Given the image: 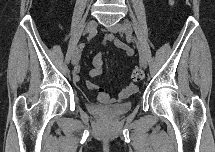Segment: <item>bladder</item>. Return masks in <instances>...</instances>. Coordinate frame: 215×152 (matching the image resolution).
<instances>
[{"label":"bladder","instance_id":"bladder-1","mask_svg":"<svg viewBox=\"0 0 215 152\" xmlns=\"http://www.w3.org/2000/svg\"><path fill=\"white\" fill-rule=\"evenodd\" d=\"M131 107H132L131 102H123V103L117 104L112 108L110 115L121 116L123 114H126L131 109ZM89 110L95 114L101 113V107L97 105H90Z\"/></svg>","mask_w":215,"mask_h":152}]
</instances>
